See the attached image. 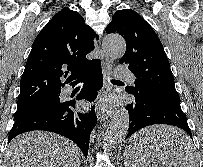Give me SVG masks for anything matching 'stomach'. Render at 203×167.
Listing matches in <instances>:
<instances>
[{
  "instance_id": "0dacf381",
  "label": "stomach",
  "mask_w": 203,
  "mask_h": 167,
  "mask_svg": "<svg viewBox=\"0 0 203 167\" xmlns=\"http://www.w3.org/2000/svg\"><path fill=\"white\" fill-rule=\"evenodd\" d=\"M151 151L154 154V156H156L158 154V151L156 149H152ZM130 155H131L130 152H128L127 149H126V151H125V160H131Z\"/></svg>"
}]
</instances>
